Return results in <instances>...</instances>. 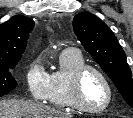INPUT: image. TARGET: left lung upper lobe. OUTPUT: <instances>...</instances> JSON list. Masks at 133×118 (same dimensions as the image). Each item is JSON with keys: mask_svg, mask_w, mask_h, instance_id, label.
<instances>
[{"mask_svg": "<svg viewBox=\"0 0 133 118\" xmlns=\"http://www.w3.org/2000/svg\"><path fill=\"white\" fill-rule=\"evenodd\" d=\"M73 29L85 50L113 80L124 100L133 108V80L126 55L111 29L89 12L77 14Z\"/></svg>", "mask_w": 133, "mask_h": 118, "instance_id": "left-lung-upper-lobe-1", "label": "left lung upper lobe"}]
</instances>
